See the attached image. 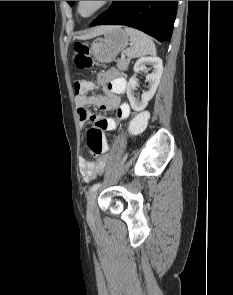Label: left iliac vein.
<instances>
[{"instance_id":"obj_1","label":"left iliac vein","mask_w":233,"mask_h":295,"mask_svg":"<svg viewBox=\"0 0 233 295\" xmlns=\"http://www.w3.org/2000/svg\"><path fill=\"white\" fill-rule=\"evenodd\" d=\"M96 197H97V190L92 191L87 197L86 213L88 218H91L93 216Z\"/></svg>"}]
</instances>
